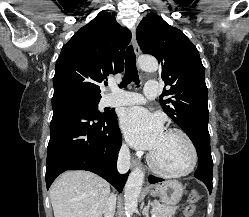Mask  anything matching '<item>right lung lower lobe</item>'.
Returning <instances> with one entry per match:
<instances>
[{"instance_id": "obj_1", "label": "right lung lower lobe", "mask_w": 249, "mask_h": 217, "mask_svg": "<svg viewBox=\"0 0 249 217\" xmlns=\"http://www.w3.org/2000/svg\"><path fill=\"white\" fill-rule=\"evenodd\" d=\"M53 117L47 147V189L66 170H88L103 177L119 192L128 174L116 168L122 143L115 113L100 117L71 98H52Z\"/></svg>"}]
</instances>
